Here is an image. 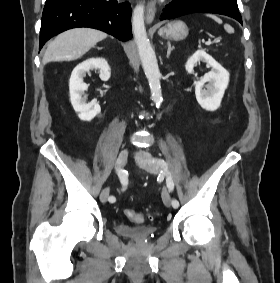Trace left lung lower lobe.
Returning a JSON list of instances; mask_svg holds the SVG:
<instances>
[{
	"instance_id": "obj_1",
	"label": "left lung lower lobe",
	"mask_w": 280,
	"mask_h": 283,
	"mask_svg": "<svg viewBox=\"0 0 280 283\" xmlns=\"http://www.w3.org/2000/svg\"><path fill=\"white\" fill-rule=\"evenodd\" d=\"M195 12L222 14L232 17L243 24L238 9L215 0H174L163 10L160 20L173 19Z\"/></svg>"
}]
</instances>
